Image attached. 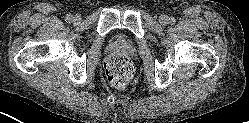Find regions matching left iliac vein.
<instances>
[{"instance_id":"obj_1","label":"left iliac vein","mask_w":249,"mask_h":123,"mask_svg":"<svg viewBox=\"0 0 249 123\" xmlns=\"http://www.w3.org/2000/svg\"><path fill=\"white\" fill-rule=\"evenodd\" d=\"M159 21L162 25H166L169 22V17L163 14L159 17Z\"/></svg>"}]
</instances>
